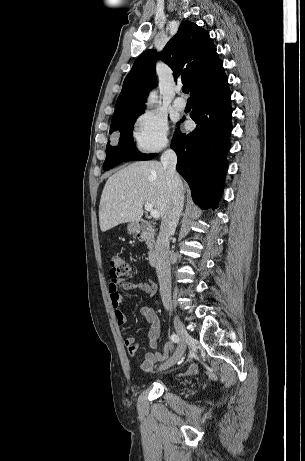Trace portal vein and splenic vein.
I'll use <instances>...</instances> for the list:
<instances>
[{"label":"portal vein and splenic vein","instance_id":"1","mask_svg":"<svg viewBox=\"0 0 305 461\" xmlns=\"http://www.w3.org/2000/svg\"><path fill=\"white\" fill-rule=\"evenodd\" d=\"M145 210L148 211L151 215V217L153 218H159L160 217V213L158 210L154 209L152 204L150 203H145Z\"/></svg>","mask_w":305,"mask_h":461}]
</instances>
